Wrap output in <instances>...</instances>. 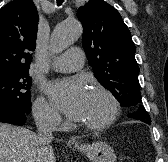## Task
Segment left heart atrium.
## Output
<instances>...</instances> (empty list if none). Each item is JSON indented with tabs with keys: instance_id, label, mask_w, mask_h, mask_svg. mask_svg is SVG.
Instances as JSON below:
<instances>
[{
	"instance_id": "left-heart-atrium-1",
	"label": "left heart atrium",
	"mask_w": 168,
	"mask_h": 162,
	"mask_svg": "<svg viewBox=\"0 0 168 162\" xmlns=\"http://www.w3.org/2000/svg\"><path fill=\"white\" fill-rule=\"evenodd\" d=\"M49 91L55 103L69 118L82 119L90 94L82 79L57 81L50 86Z\"/></svg>"
}]
</instances>
